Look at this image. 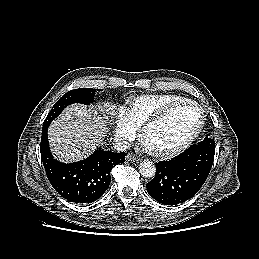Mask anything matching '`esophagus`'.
<instances>
[{
	"label": "esophagus",
	"mask_w": 259,
	"mask_h": 259,
	"mask_svg": "<svg viewBox=\"0 0 259 259\" xmlns=\"http://www.w3.org/2000/svg\"><path fill=\"white\" fill-rule=\"evenodd\" d=\"M126 160L130 162H139L141 159L133 153H129L126 155Z\"/></svg>",
	"instance_id": "1"
}]
</instances>
